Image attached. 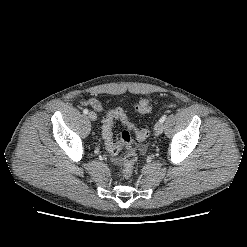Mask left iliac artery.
<instances>
[{"instance_id": "1", "label": "left iliac artery", "mask_w": 247, "mask_h": 247, "mask_svg": "<svg viewBox=\"0 0 247 247\" xmlns=\"http://www.w3.org/2000/svg\"><path fill=\"white\" fill-rule=\"evenodd\" d=\"M166 117H167L166 115H163V116L160 118V121H161V122H164V121L166 120Z\"/></svg>"}]
</instances>
